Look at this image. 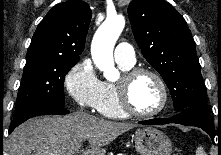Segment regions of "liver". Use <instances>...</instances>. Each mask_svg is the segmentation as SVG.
<instances>
[{
  "label": "liver",
  "mask_w": 221,
  "mask_h": 155,
  "mask_svg": "<svg viewBox=\"0 0 221 155\" xmlns=\"http://www.w3.org/2000/svg\"><path fill=\"white\" fill-rule=\"evenodd\" d=\"M136 124L99 119L85 112L28 120L11 134L8 155H105L103 148ZM87 140L89 147L81 149Z\"/></svg>",
  "instance_id": "6515ba94"
}]
</instances>
